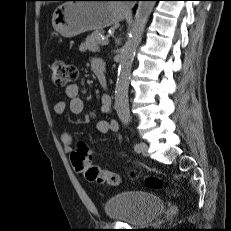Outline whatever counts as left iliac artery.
Listing matches in <instances>:
<instances>
[{
    "instance_id": "left-iliac-artery-1",
    "label": "left iliac artery",
    "mask_w": 231,
    "mask_h": 231,
    "mask_svg": "<svg viewBox=\"0 0 231 231\" xmlns=\"http://www.w3.org/2000/svg\"><path fill=\"white\" fill-rule=\"evenodd\" d=\"M124 123H125V124H128V121H124ZM134 149H135L136 152H139V144H136V145L134 146Z\"/></svg>"
}]
</instances>
